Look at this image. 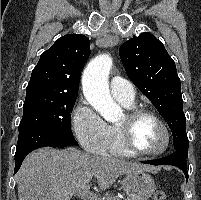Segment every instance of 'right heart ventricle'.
<instances>
[{"instance_id":"right-heart-ventricle-1","label":"right heart ventricle","mask_w":201,"mask_h":200,"mask_svg":"<svg viewBox=\"0 0 201 200\" xmlns=\"http://www.w3.org/2000/svg\"><path fill=\"white\" fill-rule=\"evenodd\" d=\"M122 106L127 109L135 108L134 101L127 102L123 100H117ZM109 139L106 152L104 154H111L116 156H131L129 152H127L121 144L119 131L117 125H109Z\"/></svg>"}]
</instances>
